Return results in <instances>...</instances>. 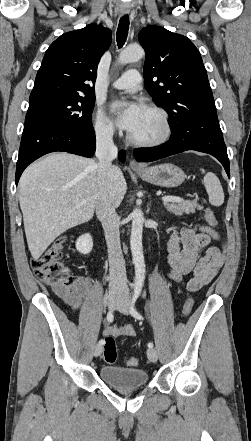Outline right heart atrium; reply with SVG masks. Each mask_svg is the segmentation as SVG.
<instances>
[{"label": "right heart atrium", "mask_w": 251, "mask_h": 441, "mask_svg": "<svg viewBox=\"0 0 251 441\" xmlns=\"http://www.w3.org/2000/svg\"><path fill=\"white\" fill-rule=\"evenodd\" d=\"M94 131L96 136L102 140H111L115 135L113 123L101 109H98L95 114Z\"/></svg>", "instance_id": "d8ad5b80"}]
</instances>
